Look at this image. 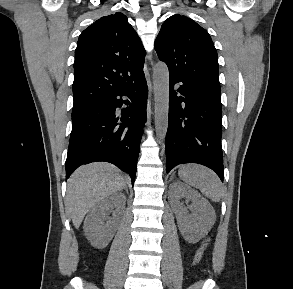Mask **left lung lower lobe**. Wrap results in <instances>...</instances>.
Masks as SVG:
<instances>
[{
    "label": "left lung lower lobe",
    "mask_w": 293,
    "mask_h": 289,
    "mask_svg": "<svg viewBox=\"0 0 293 289\" xmlns=\"http://www.w3.org/2000/svg\"><path fill=\"white\" fill-rule=\"evenodd\" d=\"M169 92L167 173L179 164L199 163L223 181L220 88L170 73Z\"/></svg>",
    "instance_id": "1"
}]
</instances>
